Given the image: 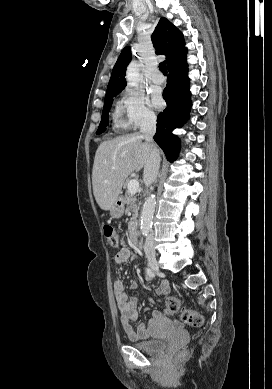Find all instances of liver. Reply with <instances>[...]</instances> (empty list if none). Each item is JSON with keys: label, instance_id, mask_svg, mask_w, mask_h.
<instances>
[{"label": "liver", "instance_id": "6515ba94", "mask_svg": "<svg viewBox=\"0 0 272 389\" xmlns=\"http://www.w3.org/2000/svg\"><path fill=\"white\" fill-rule=\"evenodd\" d=\"M140 133L116 137L102 142L95 154L92 185L97 204L110 210L121 193L126 178L145 166L151 145Z\"/></svg>", "mask_w": 272, "mask_h": 389}]
</instances>
